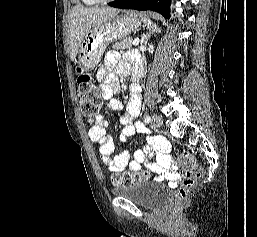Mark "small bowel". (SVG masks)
<instances>
[{
	"instance_id": "c3829d8e",
	"label": "small bowel",
	"mask_w": 257,
	"mask_h": 237,
	"mask_svg": "<svg viewBox=\"0 0 257 237\" xmlns=\"http://www.w3.org/2000/svg\"><path fill=\"white\" fill-rule=\"evenodd\" d=\"M114 68L117 74L126 75L131 71L136 74L138 66L131 67L128 61H121L118 52L110 51L105 56V61L99 70L98 77L101 81V90L107 101V108L110 111L118 112L123 109L120 100L112 98L114 92L119 89L115 74L111 72ZM131 98L127 104L126 112L121 116L120 122L123 129L120 133V140L124 142L129 136L137 132H147L146 128L135 118L140 112V86L137 83L131 85ZM107 121L103 116H99L96 123L88 131L91 141L99 145V155L103 163L111 172H120L129 170L138 171L141 166L147 162L150 170L157 174L158 178L176 182L179 179L169 155L170 144L164 137L147 136L148 144L135 151L133 158L130 159L129 152L122 150L112 157L114 151V142L107 134Z\"/></svg>"
}]
</instances>
